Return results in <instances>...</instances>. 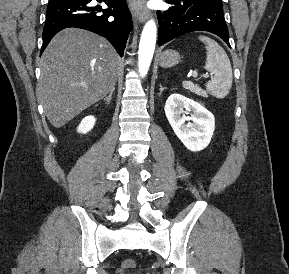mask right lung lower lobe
Here are the masks:
<instances>
[{"label":"right lung lower lobe","instance_id":"right-lung-lower-lobe-1","mask_svg":"<svg viewBox=\"0 0 289 274\" xmlns=\"http://www.w3.org/2000/svg\"><path fill=\"white\" fill-rule=\"evenodd\" d=\"M92 0H49L43 29L41 54L52 37L67 27L86 29L105 37L122 57L132 18L126 0H97L108 6H93ZM100 12L102 14H100Z\"/></svg>","mask_w":289,"mask_h":274}]
</instances>
